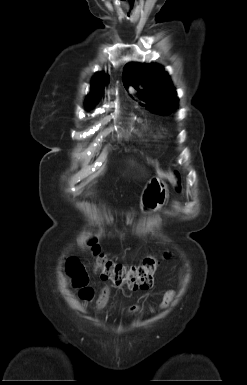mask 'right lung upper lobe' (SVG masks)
Returning <instances> with one entry per match:
<instances>
[{"label": "right lung upper lobe", "instance_id": "right-lung-upper-lobe-1", "mask_svg": "<svg viewBox=\"0 0 247 385\" xmlns=\"http://www.w3.org/2000/svg\"><path fill=\"white\" fill-rule=\"evenodd\" d=\"M108 76H105L104 74H98L94 77L92 80L93 85V92L91 93V100H87V105L93 101V99H97L100 95V92L102 91V87L105 85V83H108Z\"/></svg>", "mask_w": 247, "mask_h": 385}]
</instances>
